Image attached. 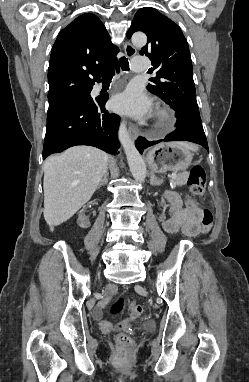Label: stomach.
I'll use <instances>...</instances> for the list:
<instances>
[{
	"label": "stomach",
	"instance_id": "obj_1",
	"mask_svg": "<svg viewBox=\"0 0 249 382\" xmlns=\"http://www.w3.org/2000/svg\"><path fill=\"white\" fill-rule=\"evenodd\" d=\"M152 171H186L190 166L193 154L182 142L161 143L150 149L146 155Z\"/></svg>",
	"mask_w": 249,
	"mask_h": 382
}]
</instances>
